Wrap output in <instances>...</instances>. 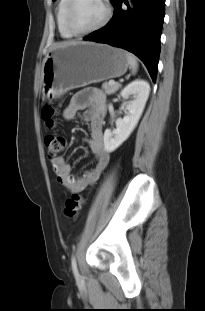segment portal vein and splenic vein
I'll return each instance as SVG.
<instances>
[{"label":"portal vein and splenic vein","instance_id":"portal-vein-and-splenic-vein-1","mask_svg":"<svg viewBox=\"0 0 205 311\" xmlns=\"http://www.w3.org/2000/svg\"><path fill=\"white\" fill-rule=\"evenodd\" d=\"M109 83L113 85V84H115L116 82L113 81V80H111Z\"/></svg>","mask_w":205,"mask_h":311}]
</instances>
